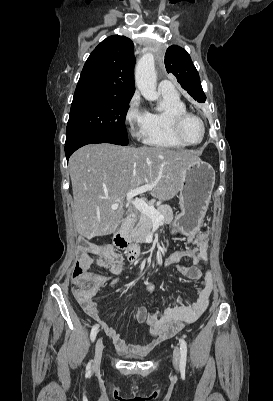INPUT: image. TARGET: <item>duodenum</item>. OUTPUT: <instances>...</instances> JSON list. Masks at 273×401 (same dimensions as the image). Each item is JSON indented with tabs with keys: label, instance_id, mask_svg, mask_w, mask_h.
<instances>
[{
	"label": "duodenum",
	"instance_id": "410a0bca",
	"mask_svg": "<svg viewBox=\"0 0 273 401\" xmlns=\"http://www.w3.org/2000/svg\"><path fill=\"white\" fill-rule=\"evenodd\" d=\"M134 218H135V215L132 212L128 213L125 216L120 228L118 229V231L115 235V239H114L115 244L118 248L126 249V257H127L128 261L131 263H137L138 261H140L147 255L138 246L132 244L128 238L127 230H128L129 225L134 220Z\"/></svg>",
	"mask_w": 273,
	"mask_h": 401
}]
</instances>
